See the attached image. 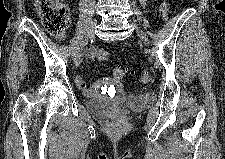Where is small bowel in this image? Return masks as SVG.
<instances>
[{"label": "small bowel", "instance_id": "obj_1", "mask_svg": "<svg viewBox=\"0 0 225 159\" xmlns=\"http://www.w3.org/2000/svg\"><path fill=\"white\" fill-rule=\"evenodd\" d=\"M96 47H93L91 48L88 53H87V58L89 60H92L95 56V51H96ZM109 81L108 80H105V79H102L100 81H98L97 85L91 87V88H88L84 79L82 77H77L76 80H75V83L77 85V87L83 91L85 94H88V95H92L95 91H96V88L101 85V84H106L108 83Z\"/></svg>", "mask_w": 225, "mask_h": 159}]
</instances>
